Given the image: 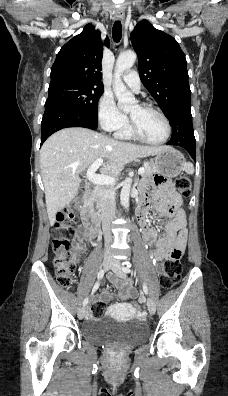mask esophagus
<instances>
[{"mask_svg":"<svg viewBox=\"0 0 228 396\" xmlns=\"http://www.w3.org/2000/svg\"><path fill=\"white\" fill-rule=\"evenodd\" d=\"M115 19L116 20H124V12L120 9L116 10Z\"/></svg>","mask_w":228,"mask_h":396,"instance_id":"obj_1","label":"esophagus"}]
</instances>
